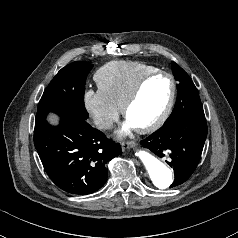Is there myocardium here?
Wrapping results in <instances>:
<instances>
[{
    "label": "myocardium",
    "instance_id": "myocardium-1",
    "mask_svg": "<svg viewBox=\"0 0 238 238\" xmlns=\"http://www.w3.org/2000/svg\"><path fill=\"white\" fill-rule=\"evenodd\" d=\"M157 76H165L166 78H168L169 82H170V96H169V100L164 108V110L162 111V113L160 114V116L153 121L151 124L144 126V127H139L136 128L137 132L141 133V134H147V133H151L155 130H157L169 117L171 110L173 108L174 102H175V98H176V91H177V87H176V82L174 77L172 76V74L166 72V71H154L151 72L145 76H143L133 87V89L131 90V92L129 93V95L127 96V98L125 99L122 107H121V111L122 114L125 118H127V112L129 110V108L136 102V100L138 99L139 95L142 92V89L144 88V86L146 85V83L157 77Z\"/></svg>",
    "mask_w": 238,
    "mask_h": 238
}]
</instances>
